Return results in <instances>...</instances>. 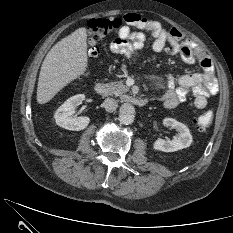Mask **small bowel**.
I'll return each mask as SVG.
<instances>
[{
    "mask_svg": "<svg viewBox=\"0 0 233 233\" xmlns=\"http://www.w3.org/2000/svg\"><path fill=\"white\" fill-rule=\"evenodd\" d=\"M125 25L118 31V37L110 44L113 53L136 61L145 47L154 52H161L168 45L172 54L179 53L185 63L199 62L203 71L189 73L177 79L167 78V90L160 96L163 106L175 108L187 102L188 93L194 96L188 105L197 109H204L208 97L218 92V82L214 67L208 55L193 41L186 39L175 29H165L159 22L145 18L136 13L124 16ZM149 35V36H148Z\"/></svg>",
    "mask_w": 233,
    "mask_h": 233,
    "instance_id": "small-bowel-1",
    "label": "small bowel"
}]
</instances>
